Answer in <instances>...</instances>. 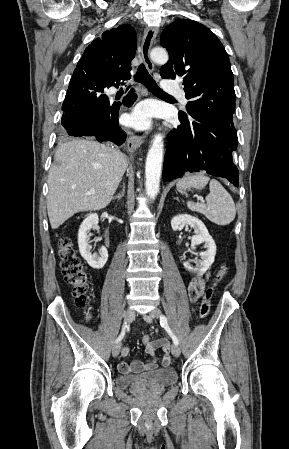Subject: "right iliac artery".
<instances>
[{
  "label": "right iliac artery",
  "instance_id": "obj_1",
  "mask_svg": "<svg viewBox=\"0 0 289 449\" xmlns=\"http://www.w3.org/2000/svg\"><path fill=\"white\" fill-rule=\"evenodd\" d=\"M126 327H127V325L125 324L124 326H123V329H122V331H121V333H120V335H119V337L116 339V342L115 343H118V342H120L121 341V339L124 337V335H125V330H126Z\"/></svg>",
  "mask_w": 289,
  "mask_h": 449
}]
</instances>
